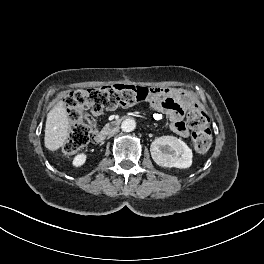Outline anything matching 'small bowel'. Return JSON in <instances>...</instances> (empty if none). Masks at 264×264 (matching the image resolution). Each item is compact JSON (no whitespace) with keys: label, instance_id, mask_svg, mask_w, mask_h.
Wrapping results in <instances>:
<instances>
[{"label":"small bowel","instance_id":"c3829d8e","mask_svg":"<svg viewBox=\"0 0 264 264\" xmlns=\"http://www.w3.org/2000/svg\"><path fill=\"white\" fill-rule=\"evenodd\" d=\"M147 101L160 116H168L170 128L174 133L181 137L189 136V129L183 120L184 113L192 102L187 92L175 88H151ZM101 114V111L91 110L84 115V119L90 126L95 127V118Z\"/></svg>","mask_w":264,"mask_h":264}]
</instances>
